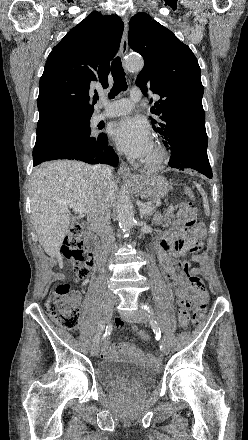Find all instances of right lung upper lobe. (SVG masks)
I'll return each instance as SVG.
<instances>
[{"label": "right lung upper lobe", "mask_w": 248, "mask_h": 440, "mask_svg": "<svg viewBox=\"0 0 248 440\" xmlns=\"http://www.w3.org/2000/svg\"><path fill=\"white\" fill-rule=\"evenodd\" d=\"M123 28L117 15L94 11L53 48L40 79L38 131L92 116L93 85L108 87L110 60L118 51Z\"/></svg>", "instance_id": "cb5924a9"}]
</instances>
